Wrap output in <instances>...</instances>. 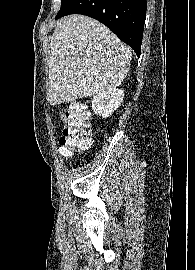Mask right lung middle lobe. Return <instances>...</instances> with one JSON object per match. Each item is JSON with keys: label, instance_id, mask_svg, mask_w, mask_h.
<instances>
[{"label": "right lung middle lobe", "instance_id": "dd1d6c3e", "mask_svg": "<svg viewBox=\"0 0 195 270\" xmlns=\"http://www.w3.org/2000/svg\"><path fill=\"white\" fill-rule=\"evenodd\" d=\"M75 0H61V8L58 14L65 12L74 2Z\"/></svg>", "mask_w": 195, "mask_h": 270}]
</instances>
